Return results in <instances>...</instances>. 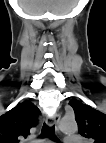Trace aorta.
I'll list each match as a JSON object with an SVG mask.
<instances>
[{
    "label": "aorta",
    "instance_id": "obj_1",
    "mask_svg": "<svg viewBox=\"0 0 106 143\" xmlns=\"http://www.w3.org/2000/svg\"><path fill=\"white\" fill-rule=\"evenodd\" d=\"M59 128L64 133H74L77 130V123L73 117H64L60 121Z\"/></svg>",
    "mask_w": 106,
    "mask_h": 143
}]
</instances>
